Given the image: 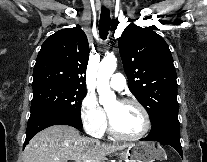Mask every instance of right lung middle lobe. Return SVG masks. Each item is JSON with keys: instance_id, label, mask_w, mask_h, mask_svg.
Wrapping results in <instances>:
<instances>
[{"instance_id": "dd1d6c3e", "label": "right lung middle lobe", "mask_w": 207, "mask_h": 162, "mask_svg": "<svg viewBox=\"0 0 207 162\" xmlns=\"http://www.w3.org/2000/svg\"><path fill=\"white\" fill-rule=\"evenodd\" d=\"M33 94L31 112L49 108L81 119V100L84 98L86 90L62 85H43L34 87Z\"/></svg>"}]
</instances>
